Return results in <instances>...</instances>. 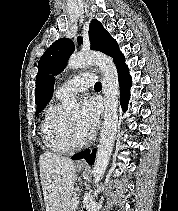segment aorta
Returning a JSON list of instances; mask_svg holds the SVG:
<instances>
[{
  "label": "aorta",
  "instance_id": "aorta-1",
  "mask_svg": "<svg viewBox=\"0 0 178 211\" xmlns=\"http://www.w3.org/2000/svg\"><path fill=\"white\" fill-rule=\"evenodd\" d=\"M90 65L98 66L102 74V91L104 95L103 127L92 170L94 182L98 183L106 171L116 138L119 83L117 69L113 60L100 52H79L72 55L68 60L67 68L76 70ZM65 109L68 112L78 111L79 103L77 99L71 98L68 100Z\"/></svg>",
  "mask_w": 178,
  "mask_h": 211
}]
</instances>
